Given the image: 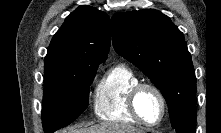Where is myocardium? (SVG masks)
<instances>
[{
    "label": "myocardium",
    "mask_w": 221,
    "mask_h": 133,
    "mask_svg": "<svg viewBox=\"0 0 221 133\" xmlns=\"http://www.w3.org/2000/svg\"><path fill=\"white\" fill-rule=\"evenodd\" d=\"M146 89L153 91L157 95V97L160 101V104H161V116L154 123H149V122L145 121L143 119V117L141 116V114L138 110V106H137V100H138L140 93ZM128 108H129L131 115L137 120L138 123H140L146 127H155V126H158L164 120V118L166 116L167 102H166V98H165L163 92L161 91V89L159 87H157L156 85L151 84V83L140 82V83L136 84L130 90V92L128 94Z\"/></svg>",
    "instance_id": "1"
}]
</instances>
